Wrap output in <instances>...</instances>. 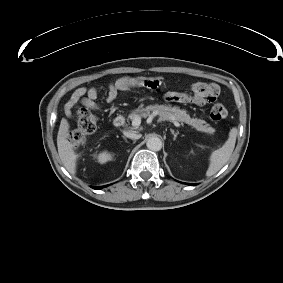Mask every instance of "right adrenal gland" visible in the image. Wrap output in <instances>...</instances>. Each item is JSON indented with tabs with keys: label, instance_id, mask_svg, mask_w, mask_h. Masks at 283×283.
<instances>
[{
	"label": "right adrenal gland",
	"instance_id": "2a0ac1e0",
	"mask_svg": "<svg viewBox=\"0 0 283 283\" xmlns=\"http://www.w3.org/2000/svg\"><path fill=\"white\" fill-rule=\"evenodd\" d=\"M123 139L125 140V142H128L127 139L123 136Z\"/></svg>",
	"mask_w": 283,
	"mask_h": 283
}]
</instances>
